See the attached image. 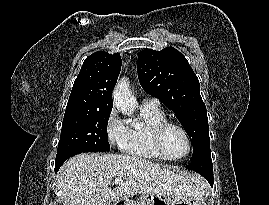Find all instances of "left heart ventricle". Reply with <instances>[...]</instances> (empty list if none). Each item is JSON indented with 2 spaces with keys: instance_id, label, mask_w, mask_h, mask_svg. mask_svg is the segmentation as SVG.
Masks as SVG:
<instances>
[{
  "instance_id": "obj_1",
  "label": "left heart ventricle",
  "mask_w": 269,
  "mask_h": 205,
  "mask_svg": "<svg viewBox=\"0 0 269 205\" xmlns=\"http://www.w3.org/2000/svg\"><path fill=\"white\" fill-rule=\"evenodd\" d=\"M164 148L172 157H181L187 151V141L184 134L177 128H169L164 135Z\"/></svg>"
}]
</instances>
